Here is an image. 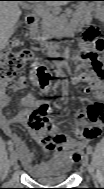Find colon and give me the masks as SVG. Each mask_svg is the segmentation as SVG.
I'll return each instance as SVG.
<instances>
[{"mask_svg":"<svg viewBox=\"0 0 104 189\" xmlns=\"http://www.w3.org/2000/svg\"><path fill=\"white\" fill-rule=\"evenodd\" d=\"M81 42L86 49L83 58L88 60L92 70L100 75L102 73V63L99 54L104 50V39L98 30L91 26L84 32ZM32 57L31 49L23 41L18 39L12 41L11 48L5 53L0 67V97L6 96L9 91L22 85V80L18 79V75L28 66ZM36 75L42 86H46L49 83L51 74L46 67H39L36 70ZM44 110V108H41L40 112ZM89 110L93 119L103 116V106L100 102L92 103L89 106ZM32 126L42 140L46 142L52 141L50 127L43 120L32 118ZM83 134H86V132L83 131Z\"/></svg>","mask_w":104,"mask_h":189,"instance_id":"colon-1","label":"colon"}]
</instances>
